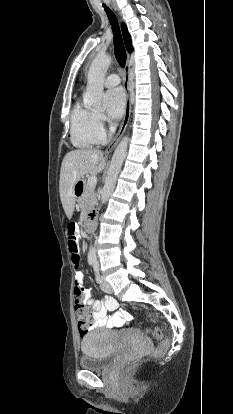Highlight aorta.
I'll return each mask as SVG.
<instances>
[{
    "label": "aorta",
    "mask_w": 233,
    "mask_h": 414,
    "mask_svg": "<svg viewBox=\"0 0 233 414\" xmlns=\"http://www.w3.org/2000/svg\"><path fill=\"white\" fill-rule=\"evenodd\" d=\"M110 64L111 57L103 53L98 54L93 60L88 72L87 87L83 97L85 107L96 110L102 108L101 100L104 89V79ZM128 141V136L123 137L113 153L107 177L105 179V185L101 191L102 204L107 202L115 188L116 180L126 155ZM88 260L91 262L97 261L94 248L89 250Z\"/></svg>",
    "instance_id": "1"
}]
</instances>
